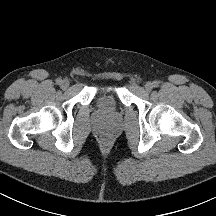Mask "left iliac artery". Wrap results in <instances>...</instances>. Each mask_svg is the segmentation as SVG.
Returning <instances> with one entry per match:
<instances>
[{"label":"left iliac artery","mask_w":216,"mask_h":216,"mask_svg":"<svg viewBox=\"0 0 216 216\" xmlns=\"http://www.w3.org/2000/svg\"><path fill=\"white\" fill-rule=\"evenodd\" d=\"M153 86H154V87H158V86H159V81H154V82H153Z\"/></svg>","instance_id":"44dca946"}]
</instances>
